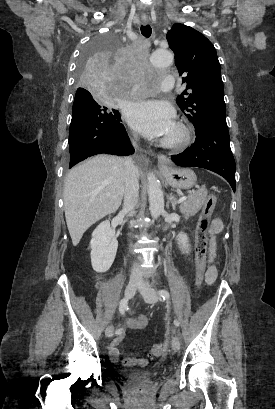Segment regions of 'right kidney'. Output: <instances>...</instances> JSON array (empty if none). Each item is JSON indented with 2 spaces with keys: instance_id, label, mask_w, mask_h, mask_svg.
<instances>
[{
  "instance_id": "right-kidney-1",
  "label": "right kidney",
  "mask_w": 275,
  "mask_h": 409,
  "mask_svg": "<svg viewBox=\"0 0 275 409\" xmlns=\"http://www.w3.org/2000/svg\"><path fill=\"white\" fill-rule=\"evenodd\" d=\"M91 265L96 273L109 271L117 253L118 241L110 221H103L92 233Z\"/></svg>"
}]
</instances>
